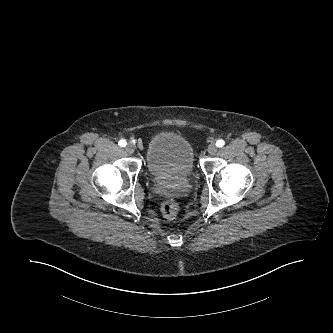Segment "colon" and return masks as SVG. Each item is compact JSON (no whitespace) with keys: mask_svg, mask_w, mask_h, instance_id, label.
Listing matches in <instances>:
<instances>
[{"mask_svg":"<svg viewBox=\"0 0 333 333\" xmlns=\"http://www.w3.org/2000/svg\"><path fill=\"white\" fill-rule=\"evenodd\" d=\"M180 207L174 200L165 201L162 205V213L169 219H174L179 215Z\"/></svg>","mask_w":333,"mask_h":333,"instance_id":"5ec220e1","label":"colon"}]
</instances>
